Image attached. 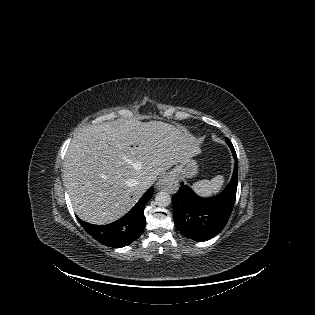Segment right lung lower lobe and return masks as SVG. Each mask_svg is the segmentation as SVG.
<instances>
[{
	"instance_id": "1",
	"label": "right lung lower lobe",
	"mask_w": 315,
	"mask_h": 315,
	"mask_svg": "<svg viewBox=\"0 0 315 315\" xmlns=\"http://www.w3.org/2000/svg\"><path fill=\"white\" fill-rule=\"evenodd\" d=\"M153 195V187L140 198L136 205L119 220L107 225H93L78 221L85 231L105 246L121 248L140 237L145 228L144 206Z\"/></svg>"
}]
</instances>
